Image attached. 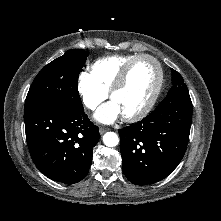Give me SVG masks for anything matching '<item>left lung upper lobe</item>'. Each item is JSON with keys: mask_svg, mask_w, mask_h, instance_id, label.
<instances>
[{"mask_svg": "<svg viewBox=\"0 0 221 221\" xmlns=\"http://www.w3.org/2000/svg\"><path fill=\"white\" fill-rule=\"evenodd\" d=\"M172 70V83L173 87L169 90V92H176V94H179L181 92H187V86L184 83V80L182 76L175 70Z\"/></svg>", "mask_w": 221, "mask_h": 221, "instance_id": "1", "label": "left lung upper lobe"}]
</instances>
